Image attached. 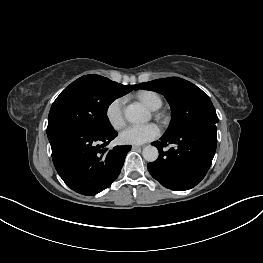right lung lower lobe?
I'll return each mask as SVG.
<instances>
[{"label": "right lung lower lobe", "mask_w": 263, "mask_h": 263, "mask_svg": "<svg viewBox=\"0 0 263 263\" xmlns=\"http://www.w3.org/2000/svg\"><path fill=\"white\" fill-rule=\"evenodd\" d=\"M54 166L68 187L95 195L118 177L130 145L106 146L117 136L114 129L100 132L84 127H60L47 132Z\"/></svg>", "instance_id": "98d812e1"}]
</instances>
